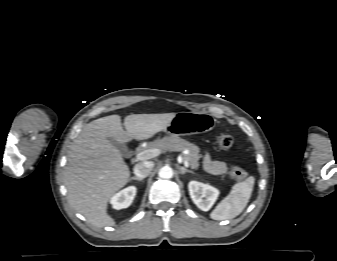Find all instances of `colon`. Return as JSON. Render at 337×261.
I'll return each instance as SVG.
<instances>
[{"instance_id": "1", "label": "colon", "mask_w": 337, "mask_h": 261, "mask_svg": "<svg viewBox=\"0 0 337 261\" xmlns=\"http://www.w3.org/2000/svg\"><path fill=\"white\" fill-rule=\"evenodd\" d=\"M217 145L220 149L227 150L233 145V137L229 134H221L217 137ZM230 176L237 181H242L247 178L248 174L241 168L232 167Z\"/></svg>"}]
</instances>
